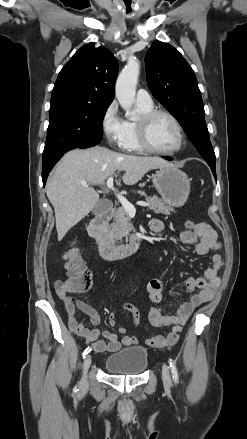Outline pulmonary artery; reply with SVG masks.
Returning <instances> with one entry per match:
<instances>
[{"instance_id": "e3ab8cb5", "label": "pulmonary artery", "mask_w": 247, "mask_h": 439, "mask_svg": "<svg viewBox=\"0 0 247 439\" xmlns=\"http://www.w3.org/2000/svg\"><path fill=\"white\" fill-rule=\"evenodd\" d=\"M136 101L139 104L150 106L153 104V100L150 94L145 89H139L136 95Z\"/></svg>"}]
</instances>
